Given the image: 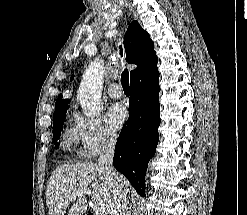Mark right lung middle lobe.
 <instances>
[{"mask_svg": "<svg viewBox=\"0 0 247 215\" xmlns=\"http://www.w3.org/2000/svg\"><path fill=\"white\" fill-rule=\"evenodd\" d=\"M65 114H66V110L58 114H55L53 116V139L56 146H57V140L60 137L62 126L64 124Z\"/></svg>", "mask_w": 247, "mask_h": 215, "instance_id": "dd1d6c3e", "label": "right lung middle lobe"}]
</instances>
